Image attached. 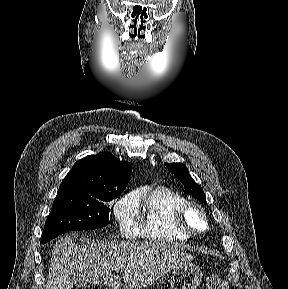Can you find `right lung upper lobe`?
<instances>
[{
  "instance_id": "right-lung-upper-lobe-1",
  "label": "right lung upper lobe",
  "mask_w": 288,
  "mask_h": 289,
  "mask_svg": "<svg viewBox=\"0 0 288 289\" xmlns=\"http://www.w3.org/2000/svg\"><path fill=\"white\" fill-rule=\"evenodd\" d=\"M131 173V163L120 161L108 152L90 155L74 164L58 192H120L126 188Z\"/></svg>"
}]
</instances>
